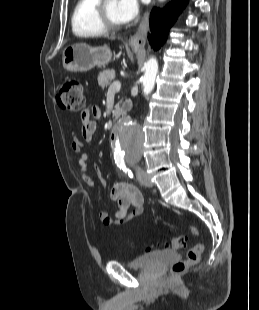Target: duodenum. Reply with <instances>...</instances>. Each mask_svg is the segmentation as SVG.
<instances>
[{"instance_id":"obj_1","label":"duodenum","mask_w":259,"mask_h":310,"mask_svg":"<svg viewBox=\"0 0 259 310\" xmlns=\"http://www.w3.org/2000/svg\"><path fill=\"white\" fill-rule=\"evenodd\" d=\"M124 107H125V105H123L120 109L114 110V112H113V118L114 119H118L122 115Z\"/></svg>"}]
</instances>
